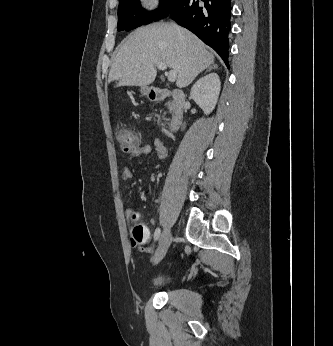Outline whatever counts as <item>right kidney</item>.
Masks as SVG:
<instances>
[{
  "label": "right kidney",
  "instance_id": "1",
  "mask_svg": "<svg viewBox=\"0 0 333 346\" xmlns=\"http://www.w3.org/2000/svg\"><path fill=\"white\" fill-rule=\"evenodd\" d=\"M221 89L217 73H210L200 78L191 88L190 96L206 115L216 106Z\"/></svg>",
  "mask_w": 333,
  "mask_h": 346
}]
</instances>
